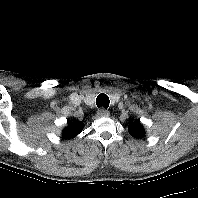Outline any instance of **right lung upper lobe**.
Wrapping results in <instances>:
<instances>
[{
  "instance_id": "1",
  "label": "right lung upper lobe",
  "mask_w": 198,
  "mask_h": 198,
  "mask_svg": "<svg viewBox=\"0 0 198 198\" xmlns=\"http://www.w3.org/2000/svg\"><path fill=\"white\" fill-rule=\"evenodd\" d=\"M84 124L82 122H72L68 121V125L63 130L62 136L64 139L73 138L79 133H81Z\"/></svg>"
}]
</instances>
